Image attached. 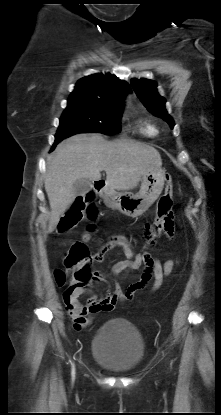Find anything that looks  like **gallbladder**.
Masks as SVG:
<instances>
[{
  "label": "gallbladder",
  "mask_w": 221,
  "mask_h": 415,
  "mask_svg": "<svg viewBox=\"0 0 221 415\" xmlns=\"http://www.w3.org/2000/svg\"><path fill=\"white\" fill-rule=\"evenodd\" d=\"M92 187V181L87 178L77 179L73 184V191L75 195H84Z\"/></svg>",
  "instance_id": "bac80fb5"
}]
</instances>
